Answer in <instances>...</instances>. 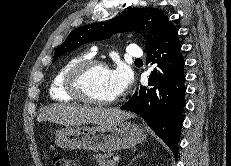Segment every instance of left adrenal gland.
<instances>
[{"label":"left adrenal gland","instance_id":"left-adrenal-gland-1","mask_svg":"<svg viewBox=\"0 0 231 166\" xmlns=\"http://www.w3.org/2000/svg\"><path fill=\"white\" fill-rule=\"evenodd\" d=\"M143 155H144V152H141V153L137 154L136 156H134V158L129 162V164L127 166H131L132 163L134 161H136V159H138L139 157H142Z\"/></svg>","mask_w":231,"mask_h":166}]
</instances>
